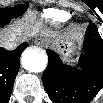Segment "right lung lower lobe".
<instances>
[{
  "label": "right lung lower lobe",
  "mask_w": 103,
  "mask_h": 103,
  "mask_svg": "<svg viewBox=\"0 0 103 103\" xmlns=\"http://www.w3.org/2000/svg\"><path fill=\"white\" fill-rule=\"evenodd\" d=\"M10 20L0 21V27ZM28 47V43H22L13 51L0 48V99L7 101L10 98L14 80L19 70L20 55Z\"/></svg>",
  "instance_id": "obj_1"
}]
</instances>
